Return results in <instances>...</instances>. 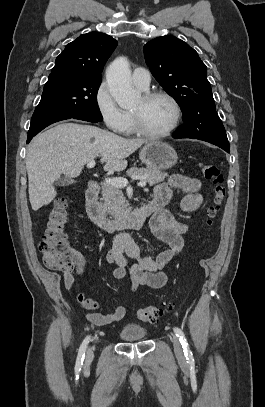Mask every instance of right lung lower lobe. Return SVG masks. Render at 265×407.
I'll list each match as a JSON object with an SVG mask.
<instances>
[{"label": "right lung lower lobe", "instance_id": "right-lung-lower-lobe-1", "mask_svg": "<svg viewBox=\"0 0 265 407\" xmlns=\"http://www.w3.org/2000/svg\"><path fill=\"white\" fill-rule=\"evenodd\" d=\"M75 119H80V120H85V121H89V122H98L97 120L91 119V118H87V117H79V118H75ZM33 136L28 135L27 137V143L30 142V140L32 139Z\"/></svg>", "mask_w": 265, "mask_h": 407}]
</instances>
